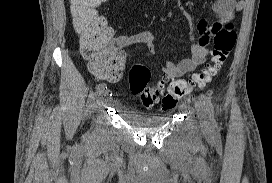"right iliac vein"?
Instances as JSON below:
<instances>
[{"label": "right iliac vein", "instance_id": "63e3f726", "mask_svg": "<svg viewBox=\"0 0 272 183\" xmlns=\"http://www.w3.org/2000/svg\"><path fill=\"white\" fill-rule=\"evenodd\" d=\"M108 95V91L104 90L103 92L99 93L98 96V103L100 104L103 102L104 98Z\"/></svg>", "mask_w": 272, "mask_h": 183}]
</instances>
